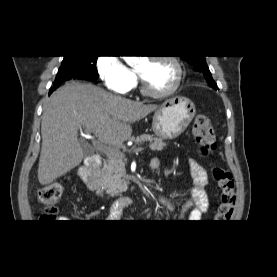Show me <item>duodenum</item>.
Instances as JSON below:
<instances>
[{
  "label": "duodenum",
  "mask_w": 277,
  "mask_h": 277,
  "mask_svg": "<svg viewBox=\"0 0 277 277\" xmlns=\"http://www.w3.org/2000/svg\"><path fill=\"white\" fill-rule=\"evenodd\" d=\"M101 165L98 155L89 156L79 169V176L88 190L102 194L101 186L96 176Z\"/></svg>",
  "instance_id": "1"
}]
</instances>
